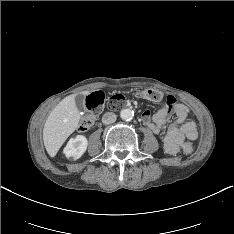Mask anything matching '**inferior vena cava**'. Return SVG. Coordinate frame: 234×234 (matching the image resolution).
<instances>
[{
    "instance_id": "602c4592",
    "label": "inferior vena cava",
    "mask_w": 234,
    "mask_h": 234,
    "mask_svg": "<svg viewBox=\"0 0 234 234\" xmlns=\"http://www.w3.org/2000/svg\"><path fill=\"white\" fill-rule=\"evenodd\" d=\"M117 116L112 112H107L102 117L103 124H112L116 121Z\"/></svg>"
}]
</instances>
